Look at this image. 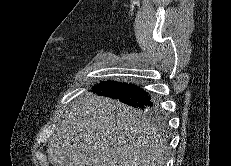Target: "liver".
<instances>
[{"label": "liver", "instance_id": "liver-1", "mask_svg": "<svg viewBox=\"0 0 231 166\" xmlns=\"http://www.w3.org/2000/svg\"><path fill=\"white\" fill-rule=\"evenodd\" d=\"M167 141L140 111L107 97L72 105L47 146L53 166H163Z\"/></svg>", "mask_w": 231, "mask_h": 166}]
</instances>
